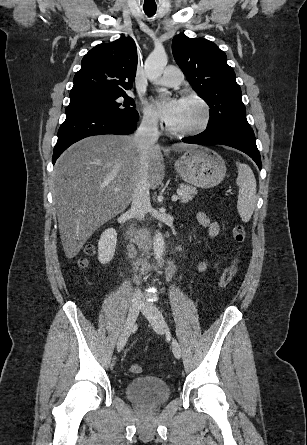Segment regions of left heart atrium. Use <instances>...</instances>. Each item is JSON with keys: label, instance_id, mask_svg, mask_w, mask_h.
<instances>
[{"label": "left heart atrium", "instance_id": "obj_1", "mask_svg": "<svg viewBox=\"0 0 307 445\" xmlns=\"http://www.w3.org/2000/svg\"><path fill=\"white\" fill-rule=\"evenodd\" d=\"M183 100L172 95H157L150 104L160 117L171 124L178 116Z\"/></svg>", "mask_w": 307, "mask_h": 445}]
</instances>
